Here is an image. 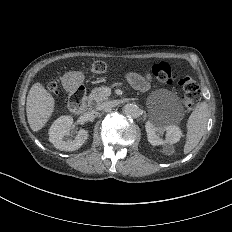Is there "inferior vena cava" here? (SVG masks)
Returning <instances> with one entry per match:
<instances>
[{"label":"inferior vena cava","mask_w":232,"mask_h":232,"mask_svg":"<svg viewBox=\"0 0 232 232\" xmlns=\"http://www.w3.org/2000/svg\"><path fill=\"white\" fill-rule=\"evenodd\" d=\"M116 105H117V103L115 101L103 102L97 107V110H99V111H101V110H110Z\"/></svg>","instance_id":"obj_1"}]
</instances>
